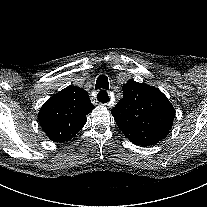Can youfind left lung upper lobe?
I'll return each instance as SVG.
<instances>
[{
	"mask_svg": "<svg viewBox=\"0 0 207 207\" xmlns=\"http://www.w3.org/2000/svg\"><path fill=\"white\" fill-rule=\"evenodd\" d=\"M111 110L119 129L134 144L151 146L164 139L175 117L173 105L157 88L129 80Z\"/></svg>",
	"mask_w": 207,
	"mask_h": 207,
	"instance_id": "left-lung-upper-lobe-1",
	"label": "left lung upper lobe"
}]
</instances>
